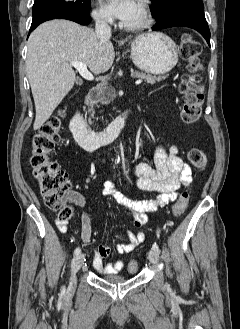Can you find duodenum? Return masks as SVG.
<instances>
[{
	"instance_id": "obj_1",
	"label": "duodenum",
	"mask_w": 240,
	"mask_h": 329,
	"mask_svg": "<svg viewBox=\"0 0 240 329\" xmlns=\"http://www.w3.org/2000/svg\"><path fill=\"white\" fill-rule=\"evenodd\" d=\"M132 115L128 109L103 130H92L84 122L80 112L74 110L70 118V131L77 143L86 150H93L100 145L112 142L125 128Z\"/></svg>"
}]
</instances>
